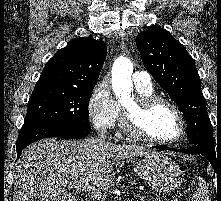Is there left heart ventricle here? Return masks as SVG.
Wrapping results in <instances>:
<instances>
[{
    "instance_id": "1",
    "label": "left heart ventricle",
    "mask_w": 221,
    "mask_h": 201,
    "mask_svg": "<svg viewBox=\"0 0 221 201\" xmlns=\"http://www.w3.org/2000/svg\"><path fill=\"white\" fill-rule=\"evenodd\" d=\"M134 100L125 104L132 107ZM142 130L151 137L163 140L176 138L180 133V124L173 111L165 105H157L139 117Z\"/></svg>"
}]
</instances>
